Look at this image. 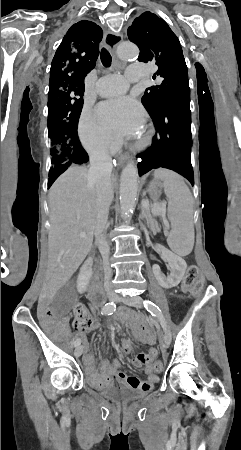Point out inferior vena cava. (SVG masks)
I'll list each match as a JSON object with an SVG mask.
<instances>
[{
    "instance_id": "1",
    "label": "inferior vena cava",
    "mask_w": 241,
    "mask_h": 450,
    "mask_svg": "<svg viewBox=\"0 0 241 450\" xmlns=\"http://www.w3.org/2000/svg\"><path fill=\"white\" fill-rule=\"evenodd\" d=\"M112 158L107 152L90 156V168L87 174V186H95L97 192V222L95 226V238L103 258L104 288L108 290L109 282L113 276L110 268V248L106 242L104 230L108 220L109 206L113 200L111 186Z\"/></svg>"
}]
</instances>
